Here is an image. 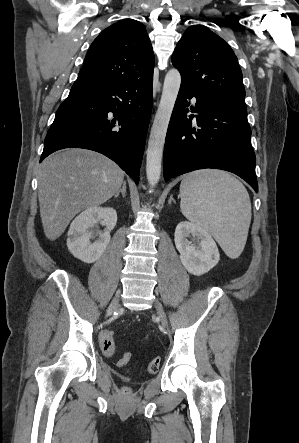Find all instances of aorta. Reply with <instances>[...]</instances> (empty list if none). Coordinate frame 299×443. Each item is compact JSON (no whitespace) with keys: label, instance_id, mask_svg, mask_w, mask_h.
Returning <instances> with one entry per match:
<instances>
[{"label":"aorta","instance_id":"1","mask_svg":"<svg viewBox=\"0 0 299 443\" xmlns=\"http://www.w3.org/2000/svg\"><path fill=\"white\" fill-rule=\"evenodd\" d=\"M181 76L177 69H171L165 76L162 96L150 131L146 175L150 186L158 184L166 133L180 89Z\"/></svg>","mask_w":299,"mask_h":443}]
</instances>
